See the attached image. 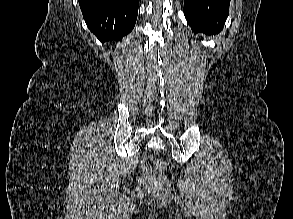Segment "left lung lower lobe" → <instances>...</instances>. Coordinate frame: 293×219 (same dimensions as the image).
<instances>
[{"mask_svg": "<svg viewBox=\"0 0 293 219\" xmlns=\"http://www.w3.org/2000/svg\"><path fill=\"white\" fill-rule=\"evenodd\" d=\"M230 0H184V15L193 31L214 33L223 28Z\"/></svg>", "mask_w": 293, "mask_h": 219, "instance_id": "left-lung-lower-lobe-1", "label": "left lung lower lobe"}]
</instances>
